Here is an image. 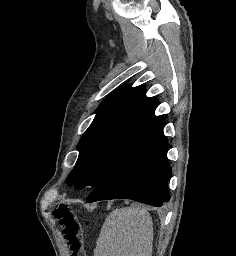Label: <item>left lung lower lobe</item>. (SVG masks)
Wrapping results in <instances>:
<instances>
[{
    "label": "left lung lower lobe",
    "mask_w": 236,
    "mask_h": 256,
    "mask_svg": "<svg viewBox=\"0 0 236 256\" xmlns=\"http://www.w3.org/2000/svg\"><path fill=\"white\" fill-rule=\"evenodd\" d=\"M165 118L153 115L130 139L107 176L94 188L87 203L125 198L160 206L170 199Z\"/></svg>",
    "instance_id": "0a47b994"
}]
</instances>
